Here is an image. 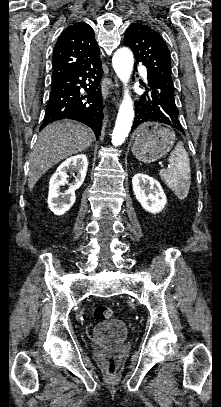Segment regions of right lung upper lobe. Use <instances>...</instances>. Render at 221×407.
Here are the masks:
<instances>
[{
	"instance_id": "right-lung-upper-lobe-1",
	"label": "right lung upper lobe",
	"mask_w": 221,
	"mask_h": 407,
	"mask_svg": "<svg viewBox=\"0 0 221 407\" xmlns=\"http://www.w3.org/2000/svg\"><path fill=\"white\" fill-rule=\"evenodd\" d=\"M99 52L93 28L84 22L74 23L63 31L55 45L52 80L93 60Z\"/></svg>"
}]
</instances>
